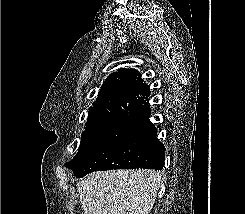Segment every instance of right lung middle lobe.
<instances>
[{
  "instance_id": "dd1d6c3e",
  "label": "right lung middle lobe",
  "mask_w": 245,
  "mask_h": 214,
  "mask_svg": "<svg viewBox=\"0 0 245 214\" xmlns=\"http://www.w3.org/2000/svg\"><path fill=\"white\" fill-rule=\"evenodd\" d=\"M128 137L127 130L119 128L103 135L83 134L78 153L65 164L77 177L119 166L117 147Z\"/></svg>"
}]
</instances>
